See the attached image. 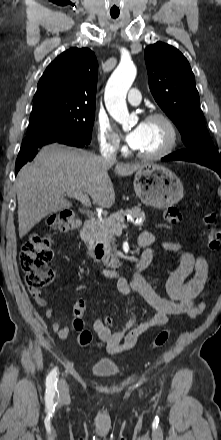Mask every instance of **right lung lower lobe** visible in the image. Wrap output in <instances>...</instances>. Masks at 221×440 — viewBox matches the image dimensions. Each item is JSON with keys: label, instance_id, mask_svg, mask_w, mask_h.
Listing matches in <instances>:
<instances>
[{"label": "right lung lower lobe", "instance_id": "obj_1", "mask_svg": "<svg viewBox=\"0 0 221 440\" xmlns=\"http://www.w3.org/2000/svg\"><path fill=\"white\" fill-rule=\"evenodd\" d=\"M53 142H58L61 144H66L76 147H84L85 145L89 144L74 138H70L68 136H62L56 134H38L34 136H27L22 142L20 152L16 159L15 175L18 173V171L24 164L31 161L35 157V155L37 154L36 150L38 147Z\"/></svg>", "mask_w": 221, "mask_h": 440}]
</instances>
